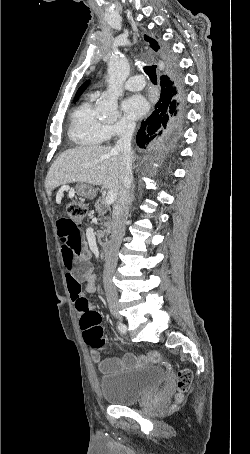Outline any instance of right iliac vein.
I'll use <instances>...</instances> for the list:
<instances>
[{
    "mask_svg": "<svg viewBox=\"0 0 250 454\" xmlns=\"http://www.w3.org/2000/svg\"><path fill=\"white\" fill-rule=\"evenodd\" d=\"M112 313H113L117 318L121 319V317H120L119 314H118V309H117V308H113V309H112Z\"/></svg>",
    "mask_w": 250,
    "mask_h": 454,
    "instance_id": "obj_1",
    "label": "right iliac vein"
}]
</instances>
